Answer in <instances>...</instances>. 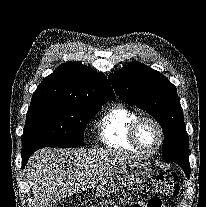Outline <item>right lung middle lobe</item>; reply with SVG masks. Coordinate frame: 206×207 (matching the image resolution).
Wrapping results in <instances>:
<instances>
[{
  "mask_svg": "<svg viewBox=\"0 0 206 207\" xmlns=\"http://www.w3.org/2000/svg\"><path fill=\"white\" fill-rule=\"evenodd\" d=\"M102 104L83 105L60 101L31 102L22 136V154L42 147H79L84 145L87 123Z\"/></svg>",
  "mask_w": 206,
  "mask_h": 207,
  "instance_id": "dd1d6c3e",
  "label": "right lung middle lobe"
}]
</instances>
